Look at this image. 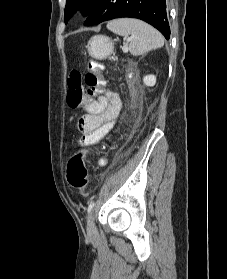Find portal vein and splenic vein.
<instances>
[{"label":"portal vein and splenic vein","mask_w":227,"mask_h":279,"mask_svg":"<svg viewBox=\"0 0 227 279\" xmlns=\"http://www.w3.org/2000/svg\"><path fill=\"white\" fill-rule=\"evenodd\" d=\"M130 40V39H129ZM128 40V41H129ZM122 50L124 53H127L128 52V43H124L123 47H122Z\"/></svg>","instance_id":"portal-vein-and-splenic-vein-1"}]
</instances>
